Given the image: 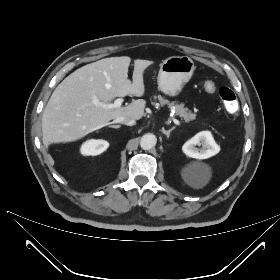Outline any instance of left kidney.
I'll return each mask as SVG.
<instances>
[{"label": "left kidney", "mask_w": 280, "mask_h": 280, "mask_svg": "<svg viewBox=\"0 0 280 280\" xmlns=\"http://www.w3.org/2000/svg\"><path fill=\"white\" fill-rule=\"evenodd\" d=\"M196 145H202V148L198 149ZM182 150L187 156L201 160L219 153L220 147L216 144L210 131H201L184 143ZM199 172L197 170L186 175V180L192 186H202L205 183V178L199 179L196 176Z\"/></svg>", "instance_id": "1"}]
</instances>
